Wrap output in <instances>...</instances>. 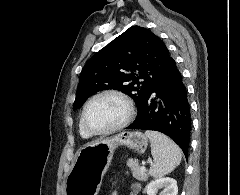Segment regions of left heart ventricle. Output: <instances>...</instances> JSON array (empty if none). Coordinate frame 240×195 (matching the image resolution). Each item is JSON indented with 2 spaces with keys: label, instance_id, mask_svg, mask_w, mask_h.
I'll use <instances>...</instances> for the list:
<instances>
[{
  "label": "left heart ventricle",
  "instance_id": "b2bd125f",
  "mask_svg": "<svg viewBox=\"0 0 240 195\" xmlns=\"http://www.w3.org/2000/svg\"><path fill=\"white\" fill-rule=\"evenodd\" d=\"M126 113L124 102L115 96L95 101L87 110L85 123L91 130H103L119 123Z\"/></svg>",
  "mask_w": 240,
  "mask_h": 195
}]
</instances>
